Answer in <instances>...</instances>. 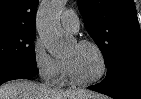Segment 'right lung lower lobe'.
<instances>
[{
    "label": "right lung lower lobe",
    "mask_w": 141,
    "mask_h": 99,
    "mask_svg": "<svg viewBox=\"0 0 141 99\" xmlns=\"http://www.w3.org/2000/svg\"><path fill=\"white\" fill-rule=\"evenodd\" d=\"M37 68L6 66L0 68V85L14 79H26L38 74Z\"/></svg>",
    "instance_id": "98d812e1"
}]
</instances>
